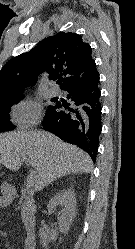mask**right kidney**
Here are the masks:
<instances>
[{"mask_svg":"<svg viewBox=\"0 0 135 249\" xmlns=\"http://www.w3.org/2000/svg\"><path fill=\"white\" fill-rule=\"evenodd\" d=\"M61 206L62 210L58 214L59 231L61 233H67L76 215V198L74 192L69 189L56 194L48 203V210L55 212L57 207ZM56 232H50L40 228L39 236L41 243L44 247H47L48 242L57 238Z\"/></svg>","mask_w":135,"mask_h":249,"instance_id":"obj_1","label":"right kidney"}]
</instances>
